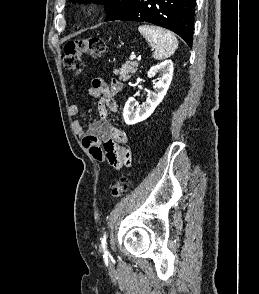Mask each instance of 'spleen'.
<instances>
[{
    "instance_id": "1",
    "label": "spleen",
    "mask_w": 259,
    "mask_h": 294,
    "mask_svg": "<svg viewBox=\"0 0 259 294\" xmlns=\"http://www.w3.org/2000/svg\"><path fill=\"white\" fill-rule=\"evenodd\" d=\"M138 31L154 49L153 57L162 60L170 57L178 47V40L175 35L166 29L153 25H142Z\"/></svg>"
}]
</instances>
